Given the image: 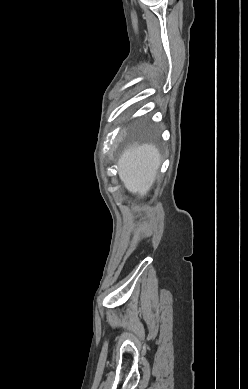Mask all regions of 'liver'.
Returning a JSON list of instances; mask_svg holds the SVG:
<instances>
[{"label": "liver", "mask_w": 248, "mask_h": 389, "mask_svg": "<svg viewBox=\"0 0 248 389\" xmlns=\"http://www.w3.org/2000/svg\"><path fill=\"white\" fill-rule=\"evenodd\" d=\"M160 164L161 156L154 145H130L119 157V177L129 192L143 197L154 183Z\"/></svg>", "instance_id": "6515ba94"}]
</instances>
